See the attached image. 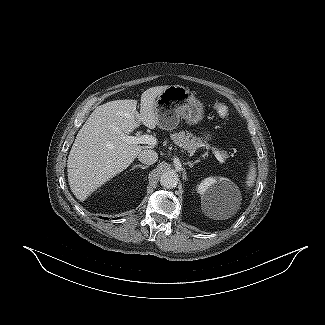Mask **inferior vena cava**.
Returning <instances> with one entry per match:
<instances>
[{
	"label": "inferior vena cava",
	"mask_w": 325,
	"mask_h": 325,
	"mask_svg": "<svg viewBox=\"0 0 325 325\" xmlns=\"http://www.w3.org/2000/svg\"><path fill=\"white\" fill-rule=\"evenodd\" d=\"M138 160L144 164L151 165L158 160V154L154 150L145 149L139 153Z\"/></svg>",
	"instance_id": "1"
}]
</instances>
